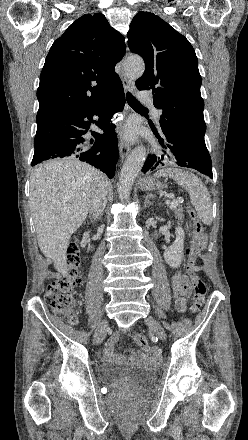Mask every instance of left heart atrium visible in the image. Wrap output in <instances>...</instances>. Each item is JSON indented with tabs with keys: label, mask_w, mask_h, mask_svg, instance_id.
Returning a JSON list of instances; mask_svg holds the SVG:
<instances>
[{
	"label": "left heart atrium",
	"mask_w": 248,
	"mask_h": 440,
	"mask_svg": "<svg viewBox=\"0 0 248 440\" xmlns=\"http://www.w3.org/2000/svg\"><path fill=\"white\" fill-rule=\"evenodd\" d=\"M122 135L124 139L128 141H133L137 136L136 126L133 123H128L123 129Z\"/></svg>",
	"instance_id": "39dd6f15"
}]
</instances>
